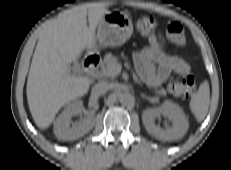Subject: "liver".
<instances>
[{
  "mask_svg": "<svg viewBox=\"0 0 231 170\" xmlns=\"http://www.w3.org/2000/svg\"><path fill=\"white\" fill-rule=\"evenodd\" d=\"M109 12L96 4L76 6L43 29L26 88L30 113L40 129H47L65 104L87 94L91 80L72 75L70 64L96 43L95 29Z\"/></svg>",
  "mask_w": 231,
  "mask_h": 170,
  "instance_id": "liver-1",
  "label": "liver"
}]
</instances>
